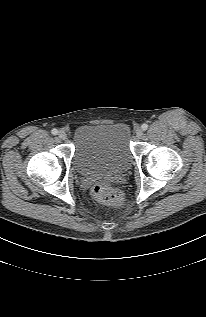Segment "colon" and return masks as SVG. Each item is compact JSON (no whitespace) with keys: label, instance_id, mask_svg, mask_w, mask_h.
Masks as SVG:
<instances>
[{"label":"colon","instance_id":"5ec220e1","mask_svg":"<svg viewBox=\"0 0 206 317\" xmlns=\"http://www.w3.org/2000/svg\"><path fill=\"white\" fill-rule=\"evenodd\" d=\"M91 194L97 202L102 204L120 205L122 202L121 194L106 182L96 183L91 189Z\"/></svg>","mask_w":206,"mask_h":317}]
</instances>
